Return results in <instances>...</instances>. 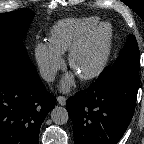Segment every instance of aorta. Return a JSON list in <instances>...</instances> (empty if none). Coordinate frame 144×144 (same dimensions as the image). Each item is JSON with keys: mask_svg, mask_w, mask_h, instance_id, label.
<instances>
[{"mask_svg": "<svg viewBox=\"0 0 144 144\" xmlns=\"http://www.w3.org/2000/svg\"><path fill=\"white\" fill-rule=\"evenodd\" d=\"M51 119L55 124L63 125L67 123L69 119L68 111L64 107L56 106L51 111Z\"/></svg>", "mask_w": 144, "mask_h": 144, "instance_id": "aorta-1", "label": "aorta"}]
</instances>
